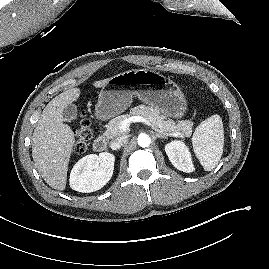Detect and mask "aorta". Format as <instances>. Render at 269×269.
I'll use <instances>...</instances> for the list:
<instances>
[{
  "mask_svg": "<svg viewBox=\"0 0 269 269\" xmlns=\"http://www.w3.org/2000/svg\"><path fill=\"white\" fill-rule=\"evenodd\" d=\"M138 145L140 147H148L151 143V138L147 134H140L137 139Z\"/></svg>",
  "mask_w": 269,
  "mask_h": 269,
  "instance_id": "1",
  "label": "aorta"
}]
</instances>
